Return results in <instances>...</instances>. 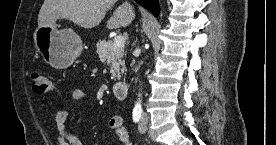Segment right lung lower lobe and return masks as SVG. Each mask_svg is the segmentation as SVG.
<instances>
[{
	"mask_svg": "<svg viewBox=\"0 0 276 145\" xmlns=\"http://www.w3.org/2000/svg\"><path fill=\"white\" fill-rule=\"evenodd\" d=\"M137 3L150 10L154 16L159 14L158 0H135Z\"/></svg>",
	"mask_w": 276,
	"mask_h": 145,
	"instance_id": "right-lung-lower-lobe-1",
	"label": "right lung lower lobe"
}]
</instances>
